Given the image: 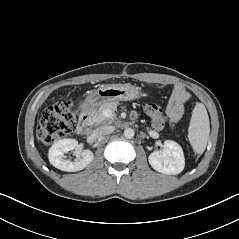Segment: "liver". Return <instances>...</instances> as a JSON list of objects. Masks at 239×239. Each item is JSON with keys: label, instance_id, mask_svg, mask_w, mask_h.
I'll use <instances>...</instances> for the list:
<instances>
[{"label": "liver", "instance_id": "1", "mask_svg": "<svg viewBox=\"0 0 239 239\" xmlns=\"http://www.w3.org/2000/svg\"><path fill=\"white\" fill-rule=\"evenodd\" d=\"M80 109H81L82 111H85V102L82 103V104H80Z\"/></svg>", "mask_w": 239, "mask_h": 239}]
</instances>
